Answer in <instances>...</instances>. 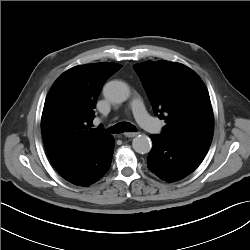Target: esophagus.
Wrapping results in <instances>:
<instances>
[{
    "mask_svg": "<svg viewBox=\"0 0 250 250\" xmlns=\"http://www.w3.org/2000/svg\"><path fill=\"white\" fill-rule=\"evenodd\" d=\"M138 134H139V132H126V133H124V135L126 137H129V138H133V137L137 136Z\"/></svg>",
    "mask_w": 250,
    "mask_h": 250,
    "instance_id": "34e87169",
    "label": "esophagus"
}]
</instances>
